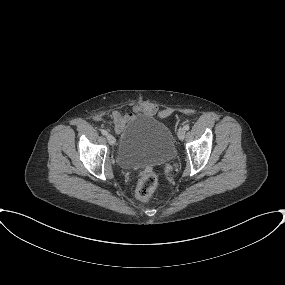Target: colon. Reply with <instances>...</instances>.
Wrapping results in <instances>:
<instances>
[{"label": "colon", "mask_w": 285, "mask_h": 285, "mask_svg": "<svg viewBox=\"0 0 285 285\" xmlns=\"http://www.w3.org/2000/svg\"><path fill=\"white\" fill-rule=\"evenodd\" d=\"M157 185L156 175L152 172H146L140 179L137 189L136 197L140 201L149 200L155 191Z\"/></svg>", "instance_id": "obj_1"}]
</instances>
